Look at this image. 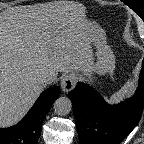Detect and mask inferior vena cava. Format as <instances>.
Wrapping results in <instances>:
<instances>
[{"mask_svg":"<svg viewBox=\"0 0 144 144\" xmlns=\"http://www.w3.org/2000/svg\"><path fill=\"white\" fill-rule=\"evenodd\" d=\"M57 80V75L54 72H48L41 77L42 84H51L52 82Z\"/></svg>","mask_w":144,"mask_h":144,"instance_id":"obj_1","label":"inferior vena cava"}]
</instances>
